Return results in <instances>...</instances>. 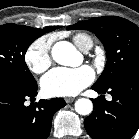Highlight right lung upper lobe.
I'll list each match as a JSON object with an SVG mask.
<instances>
[{
  "mask_svg": "<svg viewBox=\"0 0 139 139\" xmlns=\"http://www.w3.org/2000/svg\"><path fill=\"white\" fill-rule=\"evenodd\" d=\"M58 27L57 26H49V27H46L44 29H37L40 33L44 34L45 32H50V31H53L55 29H57Z\"/></svg>",
  "mask_w": 139,
  "mask_h": 139,
  "instance_id": "right-lung-upper-lobe-1",
  "label": "right lung upper lobe"
}]
</instances>
